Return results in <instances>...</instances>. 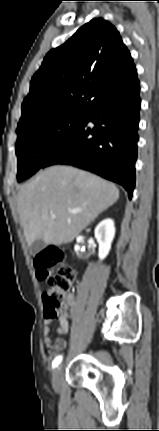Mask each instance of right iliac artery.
<instances>
[{
	"mask_svg": "<svg viewBox=\"0 0 159 431\" xmlns=\"http://www.w3.org/2000/svg\"><path fill=\"white\" fill-rule=\"evenodd\" d=\"M62 358H63V357H62L61 355H58V356L53 360V363H52L53 368L57 367V366L61 363Z\"/></svg>",
	"mask_w": 159,
	"mask_h": 431,
	"instance_id": "right-iliac-artery-1",
	"label": "right iliac artery"
}]
</instances>
